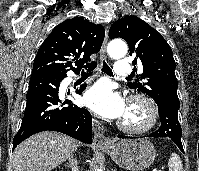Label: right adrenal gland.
Returning a JSON list of instances; mask_svg holds the SVG:
<instances>
[{
	"label": "right adrenal gland",
	"instance_id": "obj_1",
	"mask_svg": "<svg viewBox=\"0 0 199 171\" xmlns=\"http://www.w3.org/2000/svg\"><path fill=\"white\" fill-rule=\"evenodd\" d=\"M69 163L65 164L68 168L71 169V171H79L78 169V162L77 160L73 157V155H71L69 157Z\"/></svg>",
	"mask_w": 199,
	"mask_h": 171
}]
</instances>
